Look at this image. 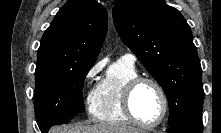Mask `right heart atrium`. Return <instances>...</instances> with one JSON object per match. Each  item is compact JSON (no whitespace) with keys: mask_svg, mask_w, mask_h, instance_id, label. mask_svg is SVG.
Masks as SVG:
<instances>
[{"mask_svg":"<svg viewBox=\"0 0 221 133\" xmlns=\"http://www.w3.org/2000/svg\"><path fill=\"white\" fill-rule=\"evenodd\" d=\"M101 69V65L96 63L94 64L86 73L85 75V83L88 84L90 83L91 81H93L95 79V77L97 76V74L99 73Z\"/></svg>","mask_w":221,"mask_h":133,"instance_id":"obj_1","label":"right heart atrium"}]
</instances>
